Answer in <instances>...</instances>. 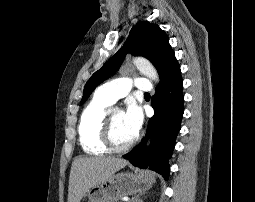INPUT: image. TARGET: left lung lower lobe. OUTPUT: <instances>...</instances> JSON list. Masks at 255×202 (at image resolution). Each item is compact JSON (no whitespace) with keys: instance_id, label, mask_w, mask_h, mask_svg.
I'll return each mask as SVG.
<instances>
[{"instance_id":"0a47b994","label":"left lung lower lobe","mask_w":255,"mask_h":202,"mask_svg":"<svg viewBox=\"0 0 255 202\" xmlns=\"http://www.w3.org/2000/svg\"><path fill=\"white\" fill-rule=\"evenodd\" d=\"M183 80L181 73L176 75L164 87L156 88L152 97V107L156 114L149 120L145 138L124 156L134 166L149 168L169 177V159L175 146V139L181 129L184 113ZM152 132V140L147 154H144L145 142Z\"/></svg>"}]
</instances>
